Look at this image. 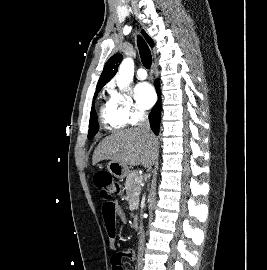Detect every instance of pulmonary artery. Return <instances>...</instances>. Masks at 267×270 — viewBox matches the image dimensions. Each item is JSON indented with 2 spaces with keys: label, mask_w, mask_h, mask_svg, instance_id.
I'll list each match as a JSON object with an SVG mask.
<instances>
[{
  "label": "pulmonary artery",
  "mask_w": 267,
  "mask_h": 270,
  "mask_svg": "<svg viewBox=\"0 0 267 270\" xmlns=\"http://www.w3.org/2000/svg\"><path fill=\"white\" fill-rule=\"evenodd\" d=\"M136 76L140 80H144L147 78V72L144 68H139L136 72Z\"/></svg>",
  "instance_id": "e3ab8cb5"
}]
</instances>
